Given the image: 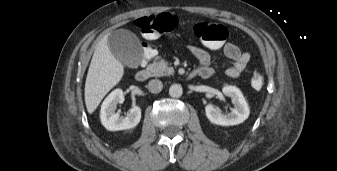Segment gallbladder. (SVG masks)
<instances>
[{"label": "gallbladder", "instance_id": "obj_1", "mask_svg": "<svg viewBox=\"0 0 337 171\" xmlns=\"http://www.w3.org/2000/svg\"><path fill=\"white\" fill-rule=\"evenodd\" d=\"M108 46L120 62L130 67H137L143 57L138 38L127 30L113 31L108 37Z\"/></svg>", "mask_w": 337, "mask_h": 171}]
</instances>
